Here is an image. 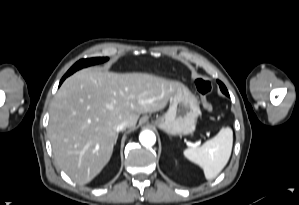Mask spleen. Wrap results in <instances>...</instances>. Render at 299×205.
<instances>
[{"label": "spleen", "instance_id": "1", "mask_svg": "<svg viewBox=\"0 0 299 205\" xmlns=\"http://www.w3.org/2000/svg\"><path fill=\"white\" fill-rule=\"evenodd\" d=\"M233 131L223 127L212 139L201 147L184 150V156L199 165L207 180L214 179L226 166L232 151Z\"/></svg>", "mask_w": 299, "mask_h": 205}]
</instances>
